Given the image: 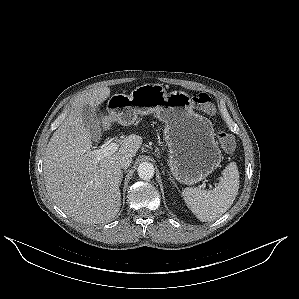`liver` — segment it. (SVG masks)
<instances>
[{
    "mask_svg": "<svg viewBox=\"0 0 299 299\" xmlns=\"http://www.w3.org/2000/svg\"><path fill=\"white\" fill-rule=\"evenodd\" d=\"M110 95V88L98 87L78 95L70 114L53 133L43 158L46 190L53 202L69 217L85 224L112 221L121 207V168L117 160L125 153L135 156L142 138L131 134L113 154L97 160L91 154L92 135L83 124L82 109H94ZM104 126L128 122L121 113L101 115Z\"/></svg>",
    "mask_w": 299,
    "mask_h": 299,
    "instance_id": "liver-1",
    "label": "liver"
}]
</instances>
